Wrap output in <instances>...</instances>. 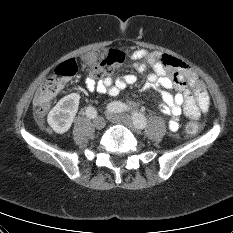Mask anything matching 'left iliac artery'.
<instances>
[{
  "instance_id": "1",
  "label": "left iliac artery",
  "mask_w": 233,
  "mask_h": 233,
  "mask_svg": "<svg viewBox=\"0 0 233 233\" xmlns=\"http://www.w3.org/2000/svg\"><path fill=\"white\" fill-rule=\"evenodd\" d=\"M129 108L123 103H112L108 106V110L114 113L127 111ZM133 123L138 129H143L146 127L147 120L141 113H132Z\"/></svg>"
}]
</instances>
